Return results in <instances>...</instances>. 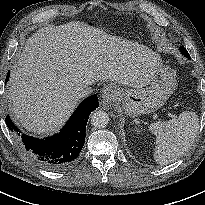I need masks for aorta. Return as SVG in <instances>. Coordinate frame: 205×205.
Returning <instances> with one entry per match:
<instances>
[{
	"label": "aorta",
	"mask_w": 205,
	"mask_h": 205,
	"mask_svg": "<svg viewBox=\"0 0 205 205\" xmlns=\"http://www.w3.org/2000/svg\"><path fill=\"white\" fill-rule=\"evenodd\" d=\"M109 123V115L102 110L95 111L91 116V124L98 129L105 128Z\"/></svg>",
	"instance_id": "1"
}]
</instances>
